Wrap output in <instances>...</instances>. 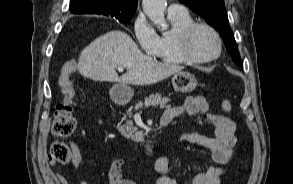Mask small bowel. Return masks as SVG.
<instances>
[{
	"label": "small bowel",
	"mask_w": 293,
	"mask_h": 184,
	"mask_svg": "<svg viewBox=\"0 0 293 184\" xmlns=\"http://www.w3.org/2000/svg\"><path fill=\"white\" fill-rule=\"evenodd\" d=\"M199 113L205 115L206 120L214 128V136L209 137L198 133H184L179 136V142L193 144L205 148L211 152L215 166H210L204 171L197 173L191 180L190 184H220L221 177L226 170V165L231 159L234 147L236 145V124L230 118L213 113L209 110L206 99L202 96L186 98L182 106H174L165 110L162 121L170 123L172 120L183 115L189 117ZM100 125L103 124L101 119L98 120ZM82 161L81 151L73 147L71 163L73 171L77 174ZM51 165L55 163L50 162ZM128 163L123 159L112 162L107 170L109 184H137L133 180L126 179L123 171ZM155 184H180L174 178L169 177V162L166 154L159 155L155 160ZM57 184H70L67 178L59 173L53 175ZM78 184H87L77 175Z\"/></svg>",
	"instance_id": "c3829d8e"
}]
</instances>
